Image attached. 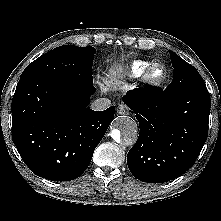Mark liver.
I'll return each instance as SVG.
<instances>
[{"instance_id": "1", "label": "liver", "mask_w": 221, "mask_h": 221, "mask_svg": "<svg viewBox=\"0 0 221 221\" xmlns=\"http://www.w3.org/2000/svg\"><path fill=\"white\" fill-rule=\"evenodd\" d=\"M122 72H123V71H122V68H121L120 66H117V65H116V66L113 68V74H114V76H116V75L119 76ZM109 83H110V85H116V86L120 85V82L117 80L116 77H114L111 81H109Z\"/></svg>"}]
</instances>
